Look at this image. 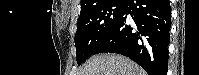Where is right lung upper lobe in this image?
Listing matches in <instances>:
<instances>
[{
    "instance_id": "cb5924a9",
    "label": "right lung upper lobe",
    "mask_w": 199,
    "mask_h": 75,
    "mask_svg": "<svg viewBox=\"0 0 199 75\" xmlns=\"http://www.w3.org/2000/svg\"><path fill=\"white\" fill-rule=\"evenodd\" d=\"M104 0H81V11L97 5Z\"/></svg>"
}]
</instances>
